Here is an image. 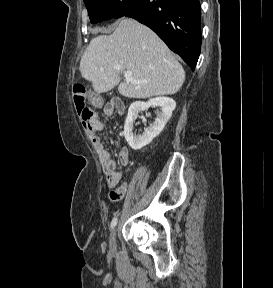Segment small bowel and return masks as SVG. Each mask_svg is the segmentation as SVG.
<instances>
[{
	"label": "small bowel",
	"mask_w": 273,
	"mask_h": 288,
	"mask_svg": "<svg viewBox=\"0 0 273 288\" xmlns=\"http://www.w3.org/2000/svg\"><path fill=\"white\" fill-rule=\"evenodd\" d=\"M123 112L124 106L119 101H111L104 107V113L107 116H113L116 113L122 114ZM104 128V124L99 119L95 118L88 128V133L101 160L102 169L106 177V185L110 189L109 198L112 201L117 202L125 195L127 185L125 183L121 184L122 174L117 170L116 162L113 159L112 154L107 150L98 136V133L103 131ZM119 157L123 165L129 163L130 153L126 147L120 148Z\"/></svg>",
	"instance_id": "c3829d8e"
}]
</instances>
